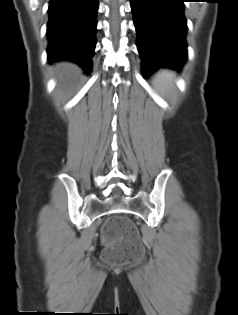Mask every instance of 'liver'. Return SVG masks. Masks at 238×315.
<instances>
[{
    "instance_id": "6515ba94",
    "label": "liver",
    "mask_w": 238,
    "mask_h": 315,
    "mask_svg": "<svg viewBox=\"0 0 238 315\" xmlns=\"http://www.w3.org/2000/svg\"><path fill=\"white\" fill-rule=\"evenodd\" d=\"M81 75V70L78 66L61 62L55 65V76L60 87H67L77 82Z\"/></svg>"
}]
</instances>
